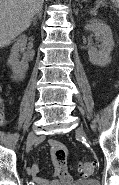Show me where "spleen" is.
<instances>
[{"mask_svg": "<svg viewBox=\"0 0 119 185\" xmlns=\"http://www.w3.org/2000/svg\"><path fill=\"white\" fill-rule=\"evenodd\" d=\"M113 2L116 3V6L119 8V0H112Z\"/></svg>", "mask_w": 119, "mask_h": 185, "instance_id": "spleen-1", "label": "spleen"}]
</instances>
